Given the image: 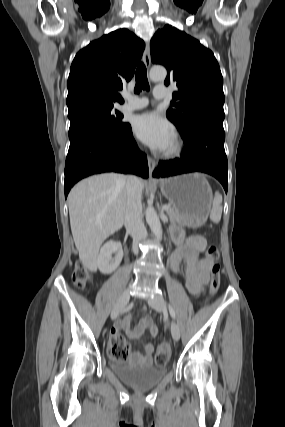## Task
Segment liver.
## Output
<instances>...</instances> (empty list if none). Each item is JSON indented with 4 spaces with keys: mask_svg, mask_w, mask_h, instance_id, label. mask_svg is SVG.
Here are the masks:
<instances>
[{
    "mask_svg": "<svg viewBox=\"0 0 285 427\" xmlns=\"http://www.w3.org/2000/svg\"><path fill=\"white\" fill-rule=\"evenodd\" d=\"M127 178L108 173L89 177L68 195L70 225L82 263L91 270L104 240L122 228L126 212ZM143 189L144 182L140 181Z\"/></svg>",
    "mask_w": 285,
    "mask_h": 427,
    "instance_id": "6515ba94",
    "label": "liver"
}]
</instances>
